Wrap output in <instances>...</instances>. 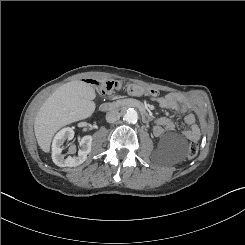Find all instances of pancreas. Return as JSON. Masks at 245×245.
<instances>
[{"label": "pancreas", "instance_id": "obj_1", "mask_svg": "<svg viewBox=\"0 0 245 245\" xmlns=\"http://www.w3.org/2000/svg\"><path fill=\"white\" fill-rule=\"evenodd\" d=\"M132 102H134V100L128 98V99L118 100V101L116 102V104H117V105H129V104H131Z\"/></svg>", "mask_w": 245, "mask_h": 245}]
</instances>
